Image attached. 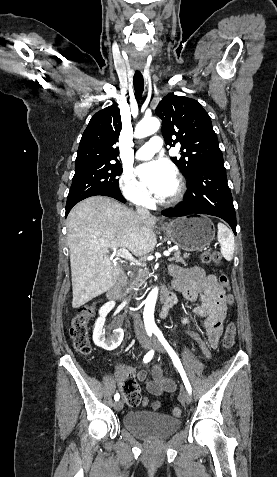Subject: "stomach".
I'll return each mask as SVG.
<instances>
[{
  "label": "stomach",
  "instance_id": "stomach-1",
  "mask_svg": "<svg viewBox=\"0 0 277 477\" xmlns=\"http://www.w3.org/2000/svg\"><path fill=\"white\" fill-rule=\"evenodd\" d=\"M166 236L185 251H202L215 237L212 221L207 216L176 218L162 226Z\"/></svg>",
  "mask_w": 277,
  "mask_h": 477
}]
</instances>
